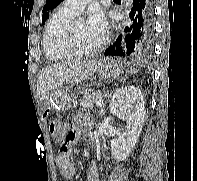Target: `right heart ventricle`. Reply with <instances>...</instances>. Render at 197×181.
Segmentation results:
<instances>
[{"label": "right heart ventricle", "instance_id": "1", "mask_svg": "<svg viewBox=\"0 0 197 181\" xmlns=\"http://www.w3.org/2000/svg\"><path fill=\"white\" fill-rule=\"evenodd\" d=\"M77 14L64 6L58 8L48 19L43 35V50L50 61H63L73 58L63 44L65 30Z\"/></svg>", "mask_w": 197, "mask_h": 181}]
</instances>
